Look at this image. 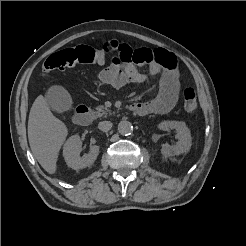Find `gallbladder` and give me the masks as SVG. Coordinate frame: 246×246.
Returning a JSON list of instances; mask_svg holds the SVG:
<instances>
[{"label": "gallbladder", "mask_w": 246, "mask_h": 246, "mask_svg": "<svg viewBox=\"0 0 246 246\" xmlns=\"http://www.w3.org/2000/svg\"><path fill=\"white\" fill-rule=\"evenodd\" d=\"M48 106L55 112L62 113L72 108L73 101L69 92L62 86H51L46 92Z\"/></svg>", "instance_id": "bac80fb5"}]
</instances>
